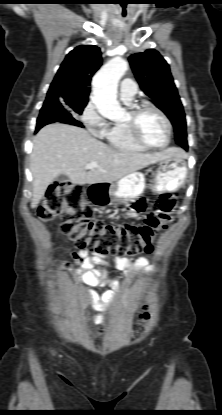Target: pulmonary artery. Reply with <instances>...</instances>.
<instances>
[{
  "instance_id": "obj_1",
  "label": "pulmonary artery",
  "mask_w": 222,
  "mask_h": 415,
  "mask_svg": "<svg viewBox=\"0 0 222 415\" xmlns=\"http://www.w3.org/2000/svg\"><path fill=\"white\" fill-rule=\"evenodd\" d=\"M121 98L126 102L131 101L137 93V86L131 79H124L120 83Z\"/></svg>"
}]
</instances>
